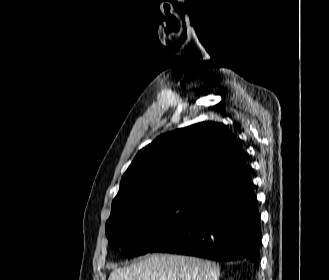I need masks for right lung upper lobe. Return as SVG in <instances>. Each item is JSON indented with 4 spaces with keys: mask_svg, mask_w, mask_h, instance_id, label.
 <instances>
[{
    "mask_svg": "<svg viewBox=\"0 0 329 280\" xmlns=\"http://www.w3.org/2000/svg\"><path fill=\"white\" fill-rule=\"evenodd\" d=\"M246 157L240 139L222 123L207 121L162 134L138 152L112 205L202 197L219 179L245 166Z\"/></svg>",
    "mask_w": 329,
    "mask_h": 280,
    "instance_id": "1",
    "label": "right lung upper lobe"
}]
</instances>
